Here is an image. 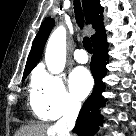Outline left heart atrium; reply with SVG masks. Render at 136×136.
<instances>
[{"instance_id":"39dd6f15","label":"left heart atrium","mask_w":136,"mask_h":136,"mask_svg":"<svg viewBox=\"0 0 136 136\" xmlns=\"http://www.w3.org/2000/svg\"><path fill=\"white\" fill-rule=\"evenodd\" d=\"M93 86L89 71L85 68H76L70 76V87L77 99H84Z\"/></svg>"}]
</instances>
